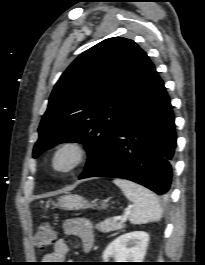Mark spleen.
Masks as SVG:
<instances>
[{
  "instance_id": "spleen-1",
  "label": "spleen",
  "mask_w": 205,
  "mask_h": 265,
  "mask_svg": "<svg viewBox=\"0 0 205 265\" xmlns=\"http://www.w3.org/2000/svg\"><path fill=\"white\" fill-rule=\"evenodd\" d=\"M113 182L121 188L128 200L134 204V209L129 216L132 224L160 221L163 210L154 193L129 180L115 179Z\"/></svg>"
}]
</instances>
